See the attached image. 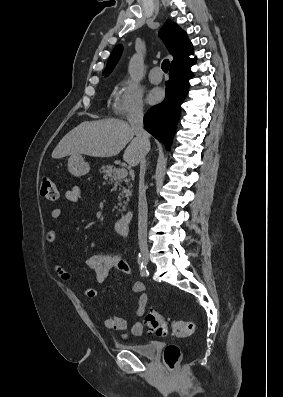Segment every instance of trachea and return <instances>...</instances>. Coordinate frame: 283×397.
Returning <instances> with one entry per match:
<instances>
[{"mask_svg": "<svg viewBox=\"0 0 283 397\" xmlns=\"http://www.w3.org/2000/svg\"><path fill=\"white\" fill-rule=\"evenodd\" d=\"M161 67H162V70H163L165 73H167V72H168V69H169V60H168V59H165V60L162 62Z\"/></svg>", "mask_w": 283, "mask_h": 397, "instance_id": "1", "label": "trachea"}]
</instances>
